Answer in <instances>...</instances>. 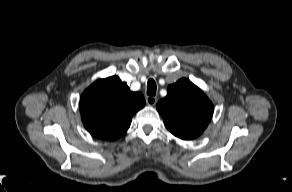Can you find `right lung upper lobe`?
Masks as SVG:
<instances>
[{"label": "right lung upper lobe", "mask_w": 292, "mask_h": 192, "mask_svg": "<svg viewBox=\"0 0 292 192\" xmlns=\"http://www.w3.org/2000/svg\"><path fill=\"white\" fill-rule=\"evenodd\" d=\"M145 105L140 92H131L118 76L97 80L82 94L81 119L91 135L113 141L126 133L133 115Z\"/></svg>", "instance_id": "1"}]
</instances>
